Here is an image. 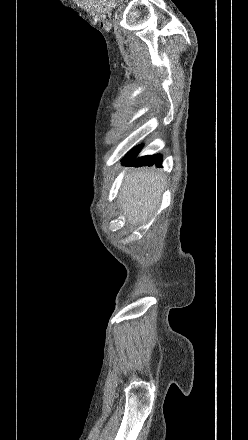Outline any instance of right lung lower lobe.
<instances>
[{"mask_svg":"<svg viewBox=\"0 0 248 440\" xmlns=\"http://www.w3.org/2000/svg\"><path fill=\"white\" fill-rule=\"evenodd\" d=\"M141 146L134 148L131 150L128 155L123 159L122 165L124 166H152L156 165L157 167H162V156L161 155H150V156H144L140 157L138 159H135L139 151L141 150Z\"/></svg>","mask_w":248,"mask_h":440,"instance_id":"obj_1","label":"right lung lower lobe"}]
</instances>
